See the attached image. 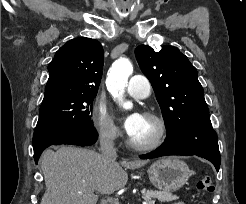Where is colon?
Masks as SVG:
<instances>
[{
	"instance_id": "5ec220e1",
	"label": "colon",
	"mask_w": 246,
	"mask_h": 204,
	"mask_svg": "<svg viewBox=\"0 0 246 204\" xmlns=\"http://www.w3.org/2000/svg\"><path fill=\"white\" fill-rule=\"evenodd\" d=\"M199 191L209 192L213 190V183L209 176H202L196 184Z\"/></svg>"
}]
</instances>
